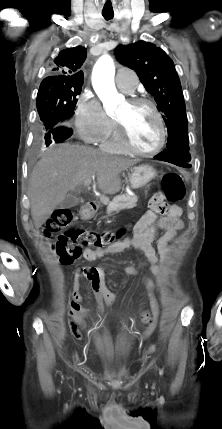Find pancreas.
Instances as JSON below:
<instances>
[{
  "instance_id": "obj_1",
  "label": "pancreas",
  "mask_w": 222,
  "mask_h": 429,
  "mask_svg": "<svg viewBox=\"0 0 222 429\" xmlns=\"http://www.w3.org/2000/svg\"><path fill=\"white\" fill-rule=\"evenodd\" d=\"M137 196H130L128 194H121L116 196L112 201L108 202L107 213L122 209H131L136 207Z\"/></svg>"
}]
</instances>
